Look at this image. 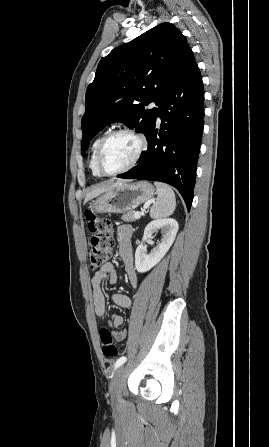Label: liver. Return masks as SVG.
<instances>
[{"label": "liver", "instance_id": "1", "mask_svg": "<svg viewBox=\"0 0 269 447\" xmlns=\"http://www.w3.org/2000/svg\"><path fill=\"white\" fill-rule=\"evenodd\" d=\"M123 182H128V180H123ZM115 186H118V184H98V186H93L92 190L86 194V198L84 200L85 202H88V200H92V198H96V196H100V194H103V192H110L112 188H115Z\"/></svg>", "mask_w": 269, "mask_h": 447}]
</instances>
